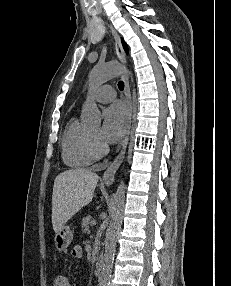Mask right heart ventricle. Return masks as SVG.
Listing matches in <instances>:
<instances>
[{"instance_id": "1", "label": "right heart ventricle", "mask_w": 231, "mask_h": 286, "mask_svg": "<svg viewBox=\"0 0 231 286\" xmlns=\"http://www.w3.org/2000/svg\"><path fill=\"white\" fill-rule=\"evenodd\" d=\"M86 131L76 117L71 118L66 124L61 138V156L66 166L83 168L95 160L87 150Z\"/></svg>"}]
</instances>
